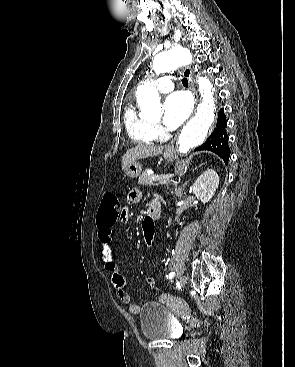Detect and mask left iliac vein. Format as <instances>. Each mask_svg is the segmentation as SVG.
Segmentation results:
<instances>
[{"mask_svg":"<svg viewBox=\"0 0 295 367\" xmlns=\"http://www.w3.org/2000/svg\"><path fill=\"white\" fill-rule=\"evenodd\" d=\"M180 284L182 286L186 285L187 284V277L186 276H181L180 277Z\"/></svg>","mask_w":295,"mask_h":367,"instance_id":"1","label":"left iliac vein"}]
</instances>
